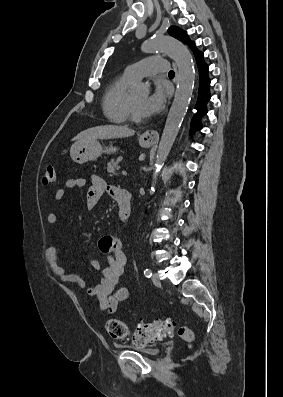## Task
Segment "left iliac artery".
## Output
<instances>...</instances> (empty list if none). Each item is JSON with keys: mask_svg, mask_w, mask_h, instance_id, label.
<instances>
[{"mask_svg": "<svg viewBox=\"0 0 283 397\" xmlns=\"http://www.w3.org/2000/svg\"><path fill=\"white\" fill-rule=\"evenodd\" d=\"M144 275H145V277L150 278L152 276L151 270L149 268H146L144 270Z\"/></svg>", "mask_w": 283, "mask_h": 397, "instance_id": "1", "label": "left iliac artery"}]
</instances>
